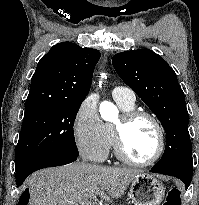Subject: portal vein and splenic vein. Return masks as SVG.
Returning <instances> with one entry per match:
<instances>
[{"label":"portal vein and splenic vein","instance_id":"obj_1","mask_svg":"<svg viewBox=\"0 0 199 205\" xmlns=\"http://www.w3.org/2000/svg\"><path fill=\"white\" fill-rule=\"evenodd\" d=\"M90 198H91V199H96V195H95V194H92V195L90 196Z\"/></svg>","mask_w":199,"mask_h":205}]
</instances>
